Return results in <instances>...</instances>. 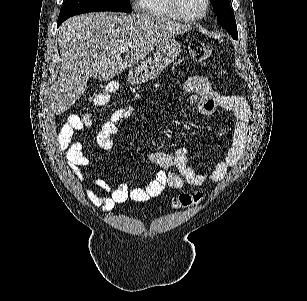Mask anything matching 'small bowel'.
<instances>
[{"instance_id":"small-bowel-1","label":"small bowel","mask_w":307,"mask_h":301,"mask_svg":"<svg viewBox=\"0 0 307 301\" xmlns=\"http://www.w3.org/2000/svg\"><path fill=\"white\" fill-rule=\"evenodd\" d=\"M185 89L190 94L189 103L195 105L199 112L212 114L218 107L230 110L234 114L233 136L225 157L218 162L209 174H198L188 166V148L181 146L174 154L164 152H152L149 155L151 162L160 167L155 178L144 188L129 189L127 185L120 184L116 187L109 185L102 179L94 178L91 181L93 189H86L87 199L100 207L103 212L111 211L116 204L128 199L137 202L147 201L160 195L166 187L181 188L185 183L193 186H201L207 180L221 181L228 170L234 167L242 157L249 138V123L251 111L247 101L238 95H228L211 88L207 78L193 76L185 83ZM134 109L126 105L116 109L109 120L101 126L96 140L103 150L113 147V136L118 128L132 115ZM82 128L80 117L70 116L58 135V143L62 154L75 175L81 179V169L89 166V159L84 155L82 144L74 141L77 131ZM176 168L177 172L169 171ZM95 189L103 192L98 193Z\"/></svg>"}]
</instances>
